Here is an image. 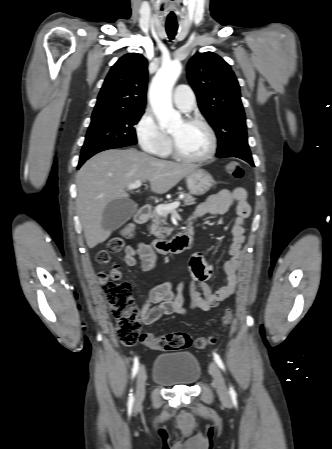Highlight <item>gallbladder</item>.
Returning a JSON list of instances; mask_svg holds the SVG:
<instances>
[{
    "mask_svg": "<svg viewBox=\"0 0 332 449\" xmlns=\"http://www.w3.org/2000/svg\"><path fill=\"white\" fill-rule=\"evenodd\" d=\"M137 211V204L130 200L119 198L111 201L103 211L102 226L115 230L125 224Z\"/></svg>",
    "mask_w": 332,
    "mask_h": 449,
    "instance_id": "bac80fb5",
    "label": "gallbladder"
}]
</instances>
